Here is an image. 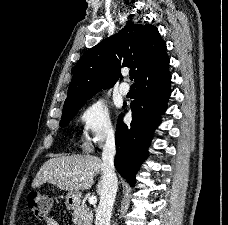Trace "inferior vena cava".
I'll return each mask as SVG.
<instances>
[{
	"label": "inferior vena cava",
	"instance_id": "inferior-vena-cava-1",
	"mask_svg": "<svg viewBox=\"0 0 228 225\" xmlns=\"http://www.w3.org/2000/svg\"><path fill=\"white\" fill-rule=\"evenodd\" d=\"M116 153L113 133L108 135L103 147V175L101 181L100 203L96 211L95 225H110L114 199L118 189V179L114 169Z\"/></svg>",
	"mask_w": 228,
	"mask_h": 225
}]
</instances>
